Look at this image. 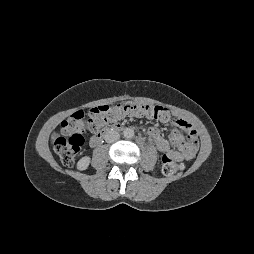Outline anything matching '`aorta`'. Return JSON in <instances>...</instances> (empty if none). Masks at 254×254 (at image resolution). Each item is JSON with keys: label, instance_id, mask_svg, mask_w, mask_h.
<instances>
[{"label": "aorta", "instance_id": "1", "mask_svg": "<svg viewBox=\"0 0 254 254\" xmlns=\"http://www.w3.org/2000/svg\"><path fill=\"white\" fill-rule=\"evenodd\" d=\"M123 135L125 138L127 139H131L134 137L135 133L134 130L132 128H125L123 131Z\"/></svg>", "mask_w": 254, "mask_h": 254}]
</instances>
